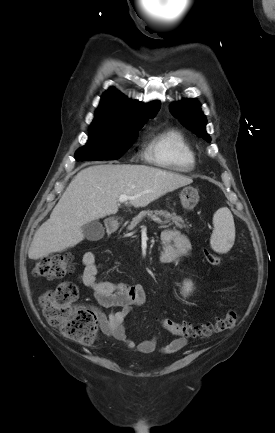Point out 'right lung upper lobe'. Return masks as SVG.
<instances>
[{"label":"right lung upper lobe","mask_w":275,"mask_h":433,"mask_svg":"<svg viewBox=\"0 0 275 433\" xmlns=\"http://www.w3.org/2000/svg\"><path fill=\"white\" fill-rule=\"evenodd\" d=\"M159 108V101L148 104L133 102L115 88H110L103 94L93 122L104 124L146 122L154 117Z\"/></svg>","instance_id":"1"}]
</instances>
